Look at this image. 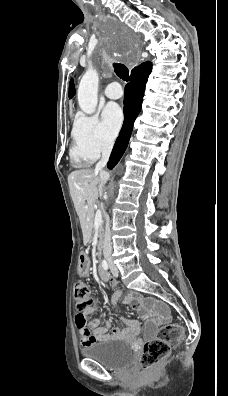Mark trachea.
<instances>
[{"mask_svg": "<svg viewBox=\"0 0 228 396\" xmlns=\"http://www.w3.org/2000/svg\"><path fill=\"white\" fill-rule=\"evenodd\" d=\"M114 71L118 77H120L124 81L129 80V70L123 64H114Z\"/></svg>", "mask_w": 228, "mask_h": 396, "instance_id": "obj_1", "label": "trachea"}]
</instances>
